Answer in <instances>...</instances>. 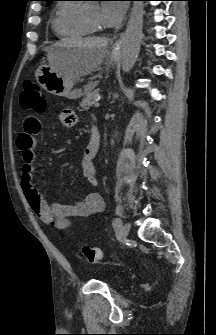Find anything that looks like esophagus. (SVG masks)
Wrapping results in <instances>:
<instances>
[{"label": "esophagus", "mask_w": 216, "mask_h": 335, "mask_svg": "<svg viewBox=\"0 0 216 335\" xmlns=\"http://www.w3.org/2000/svg\"><path fill=\"white\" fill-rule=\"evenodd\" d=\"M122 37H123V34L120 35V38L117 39L113 45V50H119L120 47H121V43H122Z\"/></svg>", "instance_id": "1"}]
</instances>
